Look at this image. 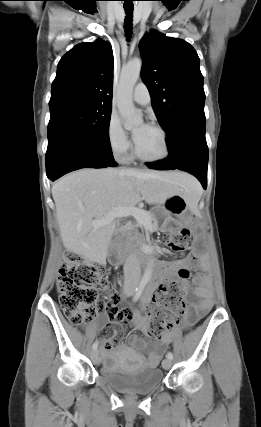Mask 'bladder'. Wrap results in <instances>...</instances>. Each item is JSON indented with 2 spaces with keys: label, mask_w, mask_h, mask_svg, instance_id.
<instances>
[{
  "label": "bladder",
  "mask_w": 261,
  "mask_h": 427,
  "mask_svg": "<svg viewBox=\"0 0 261 427\" xmlns=\"http://www.w3.org/2000/svg\"><path fill=\"white\" fill-rule=\"evenodd\" d=\"M101 378L115 389L128 394L148 393L163 381L159 368L137 371L123 365L115 355L108 356L100 370Z\"/></svg>",
  "instance_id": "obj_1"
}]
</instances>
